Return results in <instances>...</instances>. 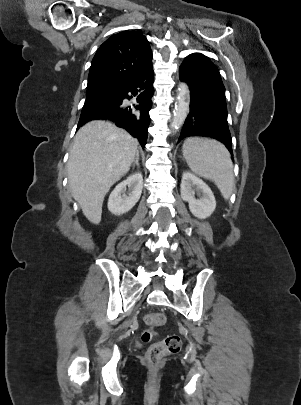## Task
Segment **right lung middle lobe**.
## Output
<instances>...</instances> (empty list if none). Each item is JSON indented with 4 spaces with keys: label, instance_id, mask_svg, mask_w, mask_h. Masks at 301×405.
I'll return each instance as SVG.
<instances>
[{
    "label": "right lung middle lobe",
    "instance_id": "obj_1",
    "mask_svg": "<svg viewBox=\"0 0 301 405\" xmlns=\"http://www.w3.org/2000/svg\"><path fill=\"white\" fill-rule=\"evenodd\" d=\"M118 95L113 90H93L86 92V101L83 109H91L100 104L112 101Z\"/></svg>",
    "mask_w": 301,
    "mask_h": 405
}]
</instances>
